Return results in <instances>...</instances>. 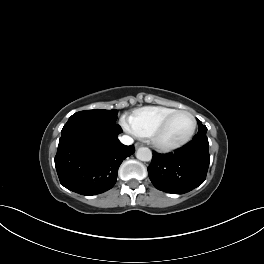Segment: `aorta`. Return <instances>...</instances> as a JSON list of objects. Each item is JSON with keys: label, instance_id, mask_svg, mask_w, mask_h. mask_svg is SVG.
Listing matches in <instances>:
<instances>
[{"label": "aorta", "instance_id": "aorta-1", "mask_svg": "<svg viewBox=\"0 0 264 264\" xmlns=\"http://www.w3.org/2000/svg\"><path fill=\"white\" fill-rule=\"evenodd\" d=\"M136 158L140 161L148 162L152 159V152L147 147H140L136 152Z\"/></svg>", "mask_w": 264, "mask_h": 264}]
</instances>
